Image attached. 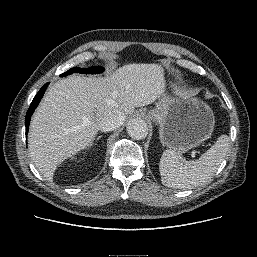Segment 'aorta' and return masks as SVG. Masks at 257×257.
Returning a JSON list of instances; mask_svg holds the SVG:
<instances>
[{
    "instance_id": "762f6f07",
    "label": "aorta",
    "mask_w": 257,
    "mask_h": 257,
    "mask_svg": "<svg viewBox=\"0 0 257 257\" xmlns=\"http://www.w3.org/2000/svg\"><path fill=\"white\" fill-rule=\"evenodd\" d=\"M127 132L132 139L141 140L146 138L148 127L144 120L133 118L127 124Z\"/></svg>"
}]
</instances>
